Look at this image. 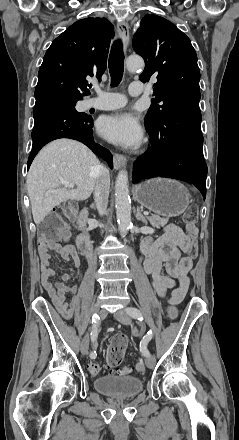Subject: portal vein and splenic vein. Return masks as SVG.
<instances>
[{
	"mask_svg": "<svg viewBox=\"0 0 239 440\" xmlns=\"http://www.w3.org/2000/svg\"><path fill=\"white\" fill-rule=\"evenodd\" d=\"M61 184H63L64 188H74V184H71V182H64V180H62ZM143 212L145 216H148L149 210H144Z\"/></svg>",
	"mask_w": 239,
	"mask_h": 440,
	"instance_id": "portal-vein-and-splenic-vein-1",
	"label": "portal vein and splenic vein"
}]
</instances>
